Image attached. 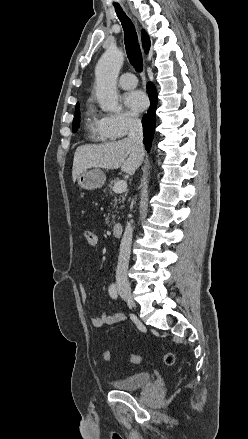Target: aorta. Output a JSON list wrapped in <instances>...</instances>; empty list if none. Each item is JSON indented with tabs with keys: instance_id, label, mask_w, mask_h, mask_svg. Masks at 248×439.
<instances>
[{
	"instance_id": "762f6f07",
	"label": "aorta",
	"mask_w": 248,
	"mask_h": 439,
	"mask_svg": "<svg viewBox=\"0 0 248 439\" xmlns=\"http://www.w3.org/2000/svg\"><path fill=\"white\" fill-rule=\"evenodd\" d=\"M123 61L124 54L118 48L111 46L96 65V96L103 111H119L116 80Z\"/></svg>"
}]
</instances>
